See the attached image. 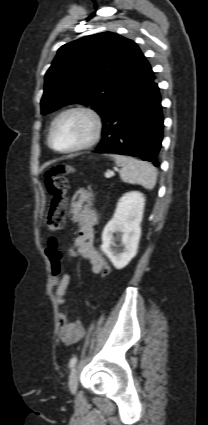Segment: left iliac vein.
Wrapping results in <instances>:
<instances>
[{
	"label": "left iliac vein",
	"instance_id": "1",
	"mask_svg": "<svg viewBox=\"0 0 208 425\" xmlns=\"http://www.w3.org/2000/svg\"><path fill=\"white\" fill-rule=\"evenodd\" d=\"M68 384L70 391L75 393L78 386V371L76 367H74L70 372Z\"/></svg>",
	"mask_w": 208,
	"mask_h": 425
}]
</instances>
